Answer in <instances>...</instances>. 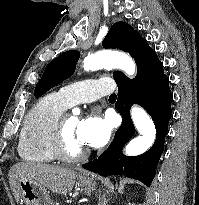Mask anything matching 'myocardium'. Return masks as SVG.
Listing matches in <instances>:
<instances>
[{
  "mask_svg": "<svg viewBox=\"0 0 199 205\" xmlns=\"http://www.w3.org/2000/svg\"><path fill=\"white\" fill-rule=\"evenodd\" d=\"M69 114L63 113L57 120L50 138V150L57 160L63 162H76L85 158L89 151L83 148L76 152H70L65 145V127Z\"/></svg>",
  "mask_w": 199,
  "mask_h": 205,
  "instance_id": "f54148a6",
  "label": "myocardium"
}]
</instances>
